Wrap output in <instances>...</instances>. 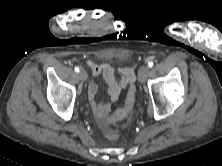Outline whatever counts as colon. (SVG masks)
Returning a JSON list of instances; mask_svg holds the SVG:
<instances>
[{"label":"colon","instance_id":"colon-1","mask_svg":"<svg viewBox=\"0 0 222 166\" xmlns=\"http://www.w3.org/2000/svg\"><path fill=\"white\" fill-rule=\"evenodd\" d=\"M135 93H136L135 86L131 85L128 92H127V96H126L124 105L116 110V112L108 120L109 123H114V122L120 121V120L127 117V115L131 112V110L134 106ZM106 135L111 140H115L118 136L117 132L114 130H109L106 133Z\"/></svg>","mask_w":222,"mask_h":166}]
</instances>
